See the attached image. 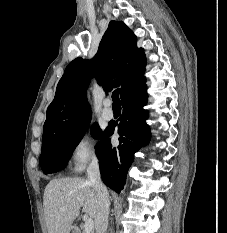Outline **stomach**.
I'll return each mask as SVG.
<instances>
[{"instance_id": "1", "label": "stomach", "mask_w": 227, "mask_h": 233, "mask_svg": "<svg viewBox=\"0 0 227 233\" xmlns=\"http://www.w3.org/2000/svg\"><path fill=\"white\" fill-rule=\"evenodd\" d=\"M70 231H72L71 233H77L73 228H71ZM69 233H70V232H69Z\"/></svg>"}]
</instances>
